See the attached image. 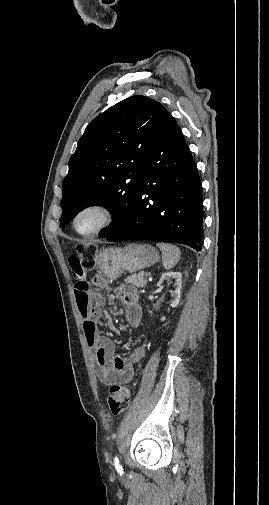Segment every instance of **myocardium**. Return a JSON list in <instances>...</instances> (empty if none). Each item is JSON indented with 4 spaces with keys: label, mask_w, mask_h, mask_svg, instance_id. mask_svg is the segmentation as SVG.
<instances>
[{
    "label": "myocardium",
    "mask_w": 269,
    "mask_h": 505,
    "mask_svg": "<svg viewBox=\"0 0 269 505\" xmlns=\"http://www.w3.org/2000/svg\"><path fill=\"white\" fill-rule=\"evenodd\" d=\"M88 210H99L103 213L104 218H103V221L101 222V224L99 226H97L95 229H93L92 231L81 232L78 230V228L76 226L77 219L79 218V216L81 214H83L84 212H86ZM116 217H117V209L112 203L104 201V200H95V201H91V202H88V203L82 205L75 212V214L72 218V228L80 236L93 237V236L100 234L101 232L106 230L108 227H110L114 223V221L116 220Z\"/></svg>",
    "instance_id": "myocardium-1"
}]
</instances>
